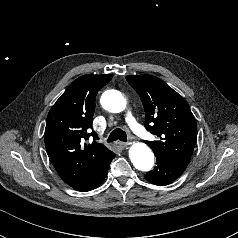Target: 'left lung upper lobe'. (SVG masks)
<instances>
[{"instance_id":"left-lung-upper-lobe-1","label":"left lung upper lobe","mask_w":238,"mask_h":238,"mask_svg":"<svg viewBox=\"0 0 238 238\" xmlns=\"http://www.w3.org/2000/svg\"><path fill=\"white\" fill-rule=\"evenodd\" d=\"M143 103L145 128L159 137L146 142L155 156L189 162L197 140V124L187 101L161 79L127 76Z\"/></svg>"}]
</instances>
